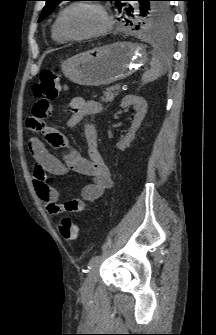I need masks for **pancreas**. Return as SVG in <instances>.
Wrapping results in <instances>:
<instances>
[{"label":"pancreas","mask_w":216,"mask_h":335,"mask_svg":"<svg viewBox=\"0 0 216 335\" xmlns=\"http://www.w3.org/2000/svg\"><path fill=\"white\" fill-rule=\"evenodd\" d=\"M116 96H117V93L115 90V86H112V87L107 88L103 92V97H101V100L102 102L109 103V102H112Z\"/></svg>","instance_id":"cf45deb5"}]
</instances>
